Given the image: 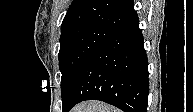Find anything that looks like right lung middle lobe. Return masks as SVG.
Segmentation results:
<instances>
[{"label": "right lung middle lobe", "instance_id": "dd1d6c3e", "mask_svg": "<svg viewBox=\"0 0 193 112\" xmlns=\"http://www.w3.org/2000/svg\"><path fill=\"white\" fill-rule=\"evenodd\" d=\"M114 33V31L95 26L77 27L61 32L59 69L62 73V104L67 99L80 69Z\"/></svg>", "mask_w": 193, "mask_h": 112}]
</instances>
